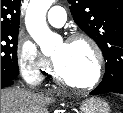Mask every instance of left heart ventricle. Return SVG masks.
Instances as JSON below:
<instances>
[{
  "label": "left heart ventricle",
  "instance_id": "left-heart-ventricle-1",
  "mask_svg": "<svg viewBox=\"0 0 123 113\" xmlns=\"http://www.w3.org/2000/svg\"><path fill=\"white\" fill-rule=\"evenodd\" d=\"M62 74L68 79L86 83L95 73V56L83 41L58 45L52 55Z\"/></svg>",
  "mask_w": 123,
  "mask_h": 113
}]
</instances>
